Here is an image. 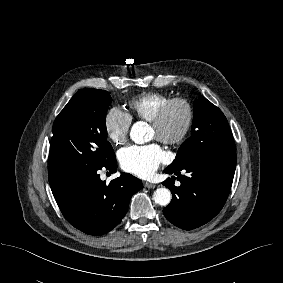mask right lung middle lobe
<instances>
[{"label":"right lung middle lobe","instance_id":"dd1d6c3e","mask_svg":"<svg viewBox=\"0 0 283 283\" xmlns=\"http://www.w3.org/2000/svg\"><path fill=\"white\" fill-rule=\"evenodd\" d=\"M111 101L107 91L82 89L57 116L49 153L50 185L101 168L115 156L105 120Z\"/></svg>","mask_w":283,"mask_h":283}]
</instances>
